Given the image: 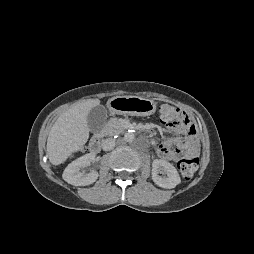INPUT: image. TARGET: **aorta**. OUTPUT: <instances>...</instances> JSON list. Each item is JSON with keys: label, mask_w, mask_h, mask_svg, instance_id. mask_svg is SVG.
<instances>
[{"label": "aorta", "mask_w": 254, "mask_h": 254, "mask_svg": "<svg viewBox=\"0 0 254 254\" xmlns=\"http://www.w3.org/2000/svg\"><path fill=\"white\" fill-rule=\"evenodd\" d=\"M124 139L127 142H132L134 140V133L133 132H127V133H125Z\"/></svg>", "instance_id": "aorta-1"}]
</instances>
